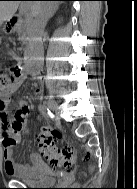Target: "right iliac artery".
Listing matches in <instances>:
<instances>
[{
    "label": "right iliac artery",
    "instance_id": "82829eb1",
    "mask_svg": "<svg viewBox=\"0 0 137 189\" xmlns=\"http://www.w3.org/2000/svg\"><path fill=\"white\" fill-rule=\"evenodd\" d=\"M39 111L45 115H51L50 110L45 105H39Z\"/></svg>",
    "mask_w": 137,
    "mask_h": 189
}]
</instances>
